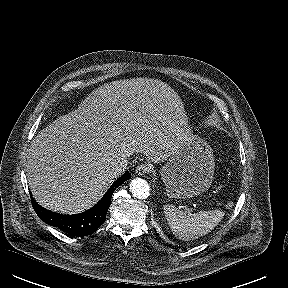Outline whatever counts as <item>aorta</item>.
<instances>
[{
  "label": "aorta",
  "instance_id": "aorta-1",
  "mask_svg": "<svg viewBox=\"0 0 288 288\" xmlns=\"http://www.w3.org/2000/svg\"><path fill=\"white\" fill-rule=\"evenodd\" d=\"M129 186L133 197L137 199H146L150 195V186L148 182L142 178H134Z\"/></svg>",
  "mask_w": 288,
  "mask_h": 288
}]
</instances>
